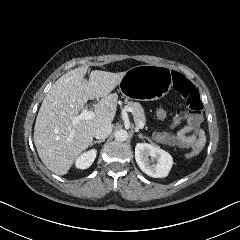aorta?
Returning <instances> with one entry per match:
<instances>
[{
    "instance_id": "1",
    "label": "aorta",
    "mask_w": 240,
    "mask_h": 240,
    "mask_svg": "<svg viewBox=\"0 0 240 240\" xmlns=\"http://www.w3.org/2000/svg\"><path fill=\"white\" fill-rule=\"evenodd\" d=\"M114 136L117 141L124 142L128 138V132L124 129H120L115 132Z\"/></svg>"
}]
</instances>
